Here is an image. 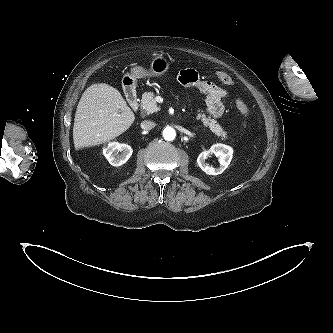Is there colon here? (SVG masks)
Listing matches in <instances>:
<instances>
[{
  "label": "colon",
  "mask_w": 333,
  "mask_h": 333,
  "mask_svg": "<svg viewBox=\"0 0 333 333\" xmlns=\"http://www.w3.org/2000/svg\"><path fill=\"white\" fill-rule=\"evenodd\" d=\"M216 76L223 84L231 85L233 83L232 77L225 72L219 71L216 73ZM235 105L240 114L247 120L249 118V108L247 105L240 98L236 99Z\"/></svg>",
  "instance_id": "colon-1"
}]
</instances>
